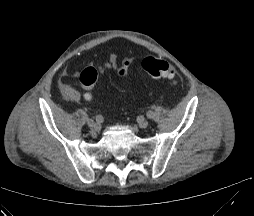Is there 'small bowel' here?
<instances>
[{
  "instance_id": "1",
  "label": "small bowel",
  "mask_w": 254,
  "mask_h": 216,
  "mask_svg": "<svg viewBox=\"0 0 254 216\" xmlns=\"http://www.w3.org/2000/svg\"><path fill=\"white\" fill-rule=\"evenodd\" d=\"M129 64L130 62L128 59L119 60L115 54H111L108 60L104 63V67L114 69L118 77H124L128 72ZM67 77H76V74L65 72L63 74V78L59 81V88L66 100L79 102L82 98H85L86 100H90L92 98L90 93L82 95L79 91L70 86L65 81V78Z\"/></svg>"
}]
</instances>
